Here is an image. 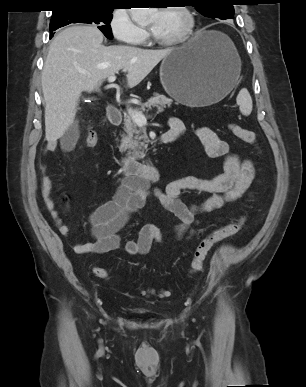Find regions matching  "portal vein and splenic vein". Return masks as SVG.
<instances>
[{
  "mask_svg": "<svg viewBox=\"0 0 306 387\" xmlns=\"http://www.w3.org/2000/svg\"><path fill=\"white\" fill-rule=\"evenodd\" d=\"M116 80V76H110L108 77V82L112 83ZM129 114L133 120L134 123H136L138 126H144L147 123V118L142 113L133 110L132 108H129Z\"/></svg>",
  "mask_w": 306,
  "mask_h": 387,
  "instance_id": "18ae733b",
  "label": "portal vein and splenic vein"
}]
</instances>
